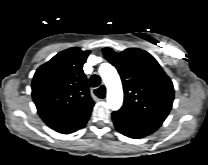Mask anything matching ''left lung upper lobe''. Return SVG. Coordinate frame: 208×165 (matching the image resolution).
Segmentation results:
<instances>
[{
  "label": "left lung upper lobe",
  "instance_id": "left-lung-upper-lobe-1",
  "mask_svg": "<svg viewBox=\"0 0 208 165\" xmlns=\"http://www.w3.org/2000/svg\"><path fill=\"white\" fill-rule=\"evenodd\" d=\"M103 54L122 79L124 103L118 112L162 124L172 108L174 88L156 59L139 48L120 53L104 48Z\"/></svg>",
  "mask_w": 208,
  "mask_h": 165
}]
</instances>
